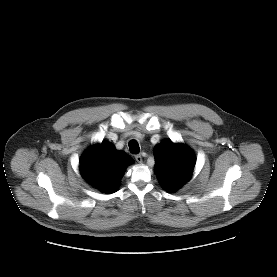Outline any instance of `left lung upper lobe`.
<instances>
[{
  "label": "left lung upper lobe",
  "mask_w": 277,
  "mask_h": 277,
  "mask_svg": "<svg viewBox=\"0 0 277 277\" xmlns=\"http://www.w3.org/2000/svg\"><path fill=\"white\" fill-rule=\"evenodd\" d=\"M154 155V171L166 191L175 192L191 178L195 155L185 145L163 141L156 146Z\"/></svg>",
  "instance_id": "obj_1"
}]
</instances>
